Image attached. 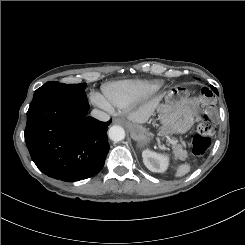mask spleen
<instances>
[{
	"instance_id": "3e777b00",
	"label": "spleen",
	"mask_w": 245,
	"mask_h": 245,
	"mask_svg": "<svg viewBox=\"0 0 245 245\" xmlns=\"http://www.w3.org/2000/svg\"><path fill=\"white\" fill-rule=\"evenodd\" d=\"M191 170V166L187 163L185 164H182V165H179L177 167V171H176V176L177 177H181V176H184L186 175L187 173H189Z\"/></svg>"
}]
</instances>
